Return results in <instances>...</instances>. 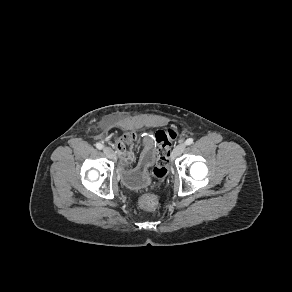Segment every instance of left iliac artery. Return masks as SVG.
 <instances>
[{"label":"left iliac artery","mask_w":292,"mask_h":292,"mask_svg":"<svg viewBox=\"0 0 292 292\" xmlns=\"http://www.w3.org/2000/svg\"><path fill=\"white\" fill-rule=\"evenodd\" d=\"M194 142L193 138H189L185 141L186 145H191Z\"/></svg>","instance_id":"44dca946"}]
</instances>
